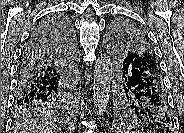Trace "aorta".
<instances>
[{
  "label": "aorta",
  "mask_w": 184,
  "mask_h": 133,
  "mask_svg": "<svg viewBox=\"0 0 184 133\" xmlns=\"http://www.w3.org/2000/svg\"><path fill=\"white\" fill-rule=\"evenodd\" d=\"M112 61L106 54H101L95 63L93 73L94 113L102 116L107 108L112 80Z\"/></svg>",
  "instance_id": "1"
}]
</instances>
